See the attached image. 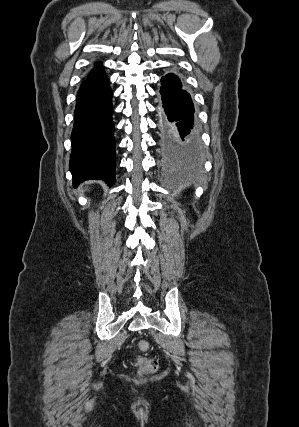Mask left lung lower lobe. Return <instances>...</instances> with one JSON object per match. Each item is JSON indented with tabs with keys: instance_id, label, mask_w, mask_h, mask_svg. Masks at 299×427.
I'll return each instance as SVG.
<instances>
[{
	"instance_id": "0a47b994",
	"label": "left lung lower lobe",
	"mask_w": 299,
	"mask_h": 427,
	"mask_svg": "<svg viewBox=\"0 0 299 427\" xmlns=\"http://www.w3.org/2000/svg\"><path fill=\"white\" fill-rule=\"evenodd\" d=\"M162 103L158 106L160 147L167 159L192 158L199 153V136L194 128V105L177 75L161 79Z\"/></svg>"
}]
</instances>
